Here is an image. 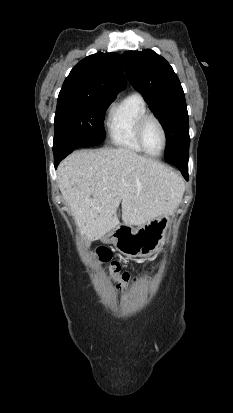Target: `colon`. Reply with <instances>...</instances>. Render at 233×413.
Returning a JSON list of instances; mask_svg holds the SVG:
<instances>
[{
	"mask_svg": "<svg viewBox=\"0 0 233 413\" xmlns=\"http://www.w3.org/2000/svg\"><path fill=\"white\" fill-rule=\"evenodd\" d=\"M97 257L100 262L108 265V270L111 277L116 281L120 289H124L131 282V277L127 272H122L120 264L111 260V252L107 248H99L97 250ZM150 270H148L149 272Z\"/></svg>",
	"mask_w": 233,
	"mask_h": 413,
	"instance_id": "1",
	"label": "colon"
}]
</instances>
